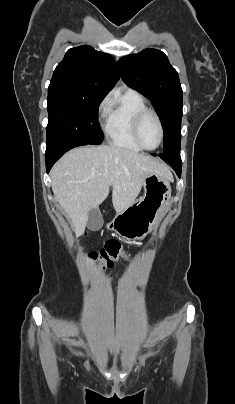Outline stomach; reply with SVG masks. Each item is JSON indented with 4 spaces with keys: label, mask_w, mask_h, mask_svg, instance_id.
Here are the masks:
<instances>
[{
    "label": "stomach",
    "mask_w": 235,
    "mask_h": 404,
    "mask_svg": "<svg viewBox=\"0 0 235 404\" xmlns=\"http://www.w3.org/2000/svg\"><path fill=\"white\" fill-rule=\"evenodd\" d=\"M144 194L132 205L117 212L107 228L127 240L145 238L159 223L171 196L169 180L150 174L143 181Z\"/></svg>",
    "instance_id": "1"
}]
</instances>
